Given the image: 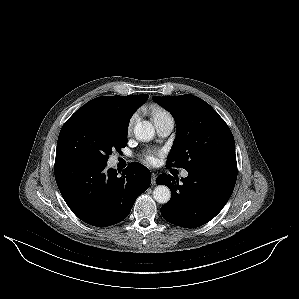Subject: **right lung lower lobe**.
Here are the masks:
<instances>
[{"label": "right lung lower lobe", "instance_id": "1", "mask_svg": "<svg viewBox=\"0 0 299 299\" xmlns=\"http://www.w3.org/2000/svg\"><path fill=\"white\" fill-rule=\"evenodd\" d=\"M54 173L71 211L83 222L97 227L124 220L151 183L150 171L139 163H130L118 175L115 169L107 170L106 163L56 156Z\"/></svg>", "mask_w": 299, "mask_h": 299}]
</instances>
